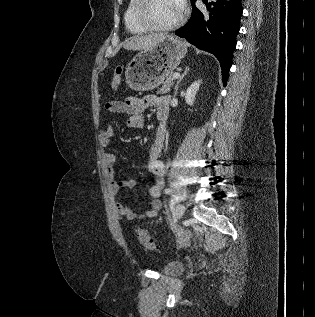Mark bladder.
I'll list each match as a JSON object with an SVG mask.
<instances>
[{"instance_id": "bladder-1", "label": "bladder", "mask_w": 315, "mask_h": 317, "mask_svg": "<svg viewBox=\"0 0 315 317\" xmlns=\"http://www.w3.org/2000/svg\"><path fill=\"white\" fill-rule=\"evenodd\" d=\"M184 269V265L179 260H173L168 263H166L162 267V272L168 275H176L182 272Z\"/></svg>"}]
</instances>
